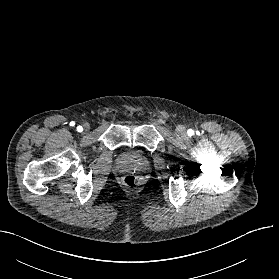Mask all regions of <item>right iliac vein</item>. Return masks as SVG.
Wrapping results in <instances>:
<instances>
[{
  "label": "right iliac vein",
  "mask_w": 279,
  "mask_h": 279,
  "mask_svg": "<svg viewBox=\"0 0 279 279\" xmlns=\"http://www.w3.org/2000/svg\"><path fill=\"white\" fill-rule=\"evenodd\" d=\"M89 129H90V126H89V124H84V132H88L89 131Z\"/></svg>",
  "instance_id": "63e3f726"
}]
</instances>
